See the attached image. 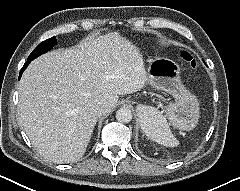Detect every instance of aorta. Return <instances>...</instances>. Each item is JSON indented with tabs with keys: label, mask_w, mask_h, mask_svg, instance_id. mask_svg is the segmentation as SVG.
<instances>
[{
	"label": "aorta",
	"mask_w": 240,
	"mask_h": 191,
	"mask_svg": "<svg viewBox=\"0 0 240 191\" xmlns=\"http://www.w3.org/2000/svg\"><path fill=\"white\" fill-rule=\"evenodd\" d=\"M132 112L129 108L123 107L117 110L116 119L120 123H129L132 120Z\"/></svg>",
	"instance_id": "1"
}]
</instances>
